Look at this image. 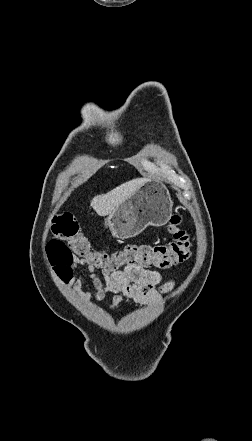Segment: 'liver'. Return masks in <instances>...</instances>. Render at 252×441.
Returning a JSON list of instances; mask_svg holds the SVG:
<instances>
[{"label": "liver", "instance_id": "liver-1", "mask_svg": "<svg viewBox=\"0 0 252 441\" xmlns=\"http://www.w3.org/2000/svg\"><path fill=\"white\" fill-rule=\"evenodd\" d=\"M148 179L137 178L130 180L106 194L95 196L91 200V206L100 216L110 215L120 203L132 196Z\"/></svg>", "mask_w": 252, "mask_h": 441}]
</instances>
